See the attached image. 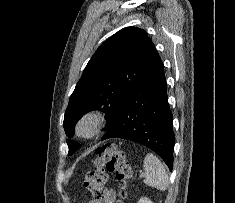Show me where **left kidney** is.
<instances>
[{
	"label": "left kidney",
	"mask_w": 235,
	"mask_h": 203,
	"mask_svg": "<svg viewBox=\"0 0 235 203\" xmlns=\"http://www.w3.org/2000/svg\"><path fill=\"white\" fill-rule=\"evenodd\" d=\"M138 203H153L151 200H149L148 198H141Z\"/></svg>",
	"instance_id": "5707ae66"
}]
</instances>
